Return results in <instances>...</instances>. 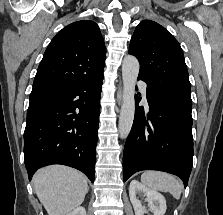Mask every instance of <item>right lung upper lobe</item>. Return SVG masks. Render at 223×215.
<instances>
[{"mask_svg": "<svg viewBox=\"0 0 223 215\" xmlns=\"http://www.w3.org/2000/svg\"><path fill=\"white\" fill-rule=\"evenodd\" d=\"M106 48L91 20L69 24L48 45L30 96L57 95L92 79L104 70Z\"/></svg>", "mask_w": 223, "mask_h": 215, "instance_id": "right-lung-upper-lobe-1", "label": "right lung upper lobe"}]
</instances>
